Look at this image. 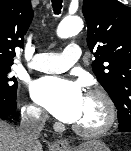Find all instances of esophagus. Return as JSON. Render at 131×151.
Instances as JSON below:
<instances>
[{
	"mask_svg": "<svg viewBox=\"0 0 131 151\" xmlns=\"http://www.w3.org/2000/svg\"><path fill=\"white\" fill-rule=\"evenodd\" d=\"M54 144L59 148V149H62V150H66L69 148V143L68 141L66 140H62V139H59V140H56L54 142Z\"/></svg>",
	"mask_w": 131,
	"mask_h": 151,
	"instance_id": "1",
	"label": "esophagus"
}]
</instances>
